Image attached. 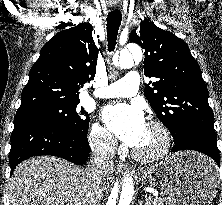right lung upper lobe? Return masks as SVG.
<instances>
[{"mask_svg": "<svg viewBox=\"0 0 222 205\" xmlns=\"http://www.w3.org/2000/svg\"><path fill=\"white\" fill-rule=\"evenodd\" d=\"M92 29L89 23H81L57 33L42 47L30 70L17 112L47 103L80 101L79 90L96 72L98 48Z\"/></svg>", "mask_w": 222, "mask_h": 205, "instance_id": "cb5924a9", "label": "right lung upper lobe"}]
</instances>
